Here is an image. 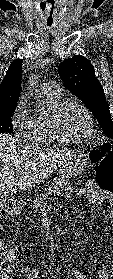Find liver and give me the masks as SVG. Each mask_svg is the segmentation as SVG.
Masks as SVG:
<instances>
[{"instance_id": "obj_1", "label": "liver", "mask_w": 113, "mask_h": 279, "mask_svg": "<svg viewBox=\"0 0 113 279\" xmlns=\"http://www.w3.org/2000/svg\"><path fill=\"white\" fill-rule=\"evenodd\" d=\"M71 152L69 149L52 151L23 146L17 137L0 134V199L43 182Z\"/></svg>"}]
</instances>
